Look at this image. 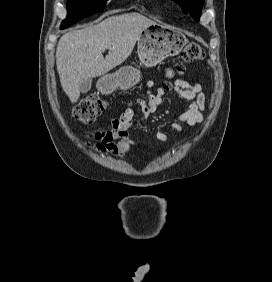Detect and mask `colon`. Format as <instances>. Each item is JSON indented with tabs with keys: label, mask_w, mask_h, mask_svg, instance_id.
<instances>
[{
	"label": "colon",
	"mask_w": 272,
	"mask_h": 282,
	"mask_svg": "<svg viewBox=\"0 0 272 282\" xmlns=\"http://www.w3.org/2000/svg\"><path fill=\"white\" fill-rule=\"evenodd\" d=\"M205 56L202 47L194 42L186 41L181 53V63L177 66V72H184L185 64H193L201 61ZM174 87L173 82L167 81L162 84L164 90L170 91ZM106 102L97 94H92L82 99L74 108V117L84 124L92 123L105 109ZM107 132H98L96 140L101 143L107 142Z\"/></svg>",
	"instance_id": "colon-1"
}]
</instances>
